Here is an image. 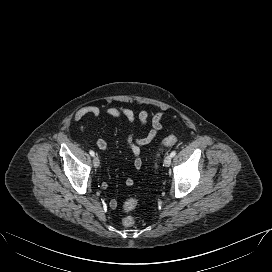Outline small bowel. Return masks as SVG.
<instances>
[{"instance_id":"small-bowel-1","label":"small bowel","mask_w":272,"mask_h":272,"mask_svg":"<svg viewBox=\"0 0 272 272\" xmlns=\"http://www.w3.org/2000/svg\"><path fill=\"white\" fill-rule=\"evenodd\" d=\"M105 114L109 117L125 119L132 125L136 122L141 124L142 126L147 125L149 122L151 123V129L142 136H136L133 131H131L126 139L127 146L130 148L133 154V165L136 170H140L142 167V158H141V148L143 146L149 145L152 143L158 134L163 129V113L156 112L150 117L149 112L145 109H141L137 113L132 109L124 106H114L108 108L105 111ZM101 115V109L97 106H85L77 110L74 114L75 120L82 119H96ZM85 124L80 126V130L84 131ZM96 147L101 151H106L108 149V144L104 139H97ZM125 184L127 186H132L134 184V179L132 177H128L125 180ZM102 188H107V183H102ZM118 203L115 199L110 200L109 206L112 209L117 207Z\"/></svg>"}]
</instances>
